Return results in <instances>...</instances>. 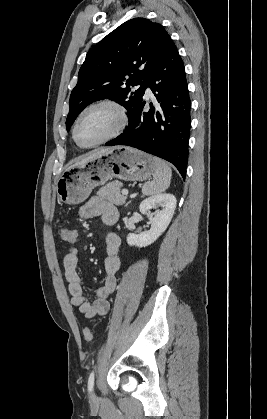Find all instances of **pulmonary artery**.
I'll return each instance as SVG.
<instances>
[{
    "mask_svg": "<svg viewBox=\"0 0 267 419\" xmlns=\"http://www.w3.org/2000/svg\"><path fill=\"white\" fill-rule=\"evenodd\" d=\"M146 94H147V95H151V90H150V88H149V87H147V89H146Z\"/></svg>",
    "mask_w": 267,
    "mask_h": 419,
    "instance_id": "1",
    "label": "pulmonary artery"
}]
</instances>
